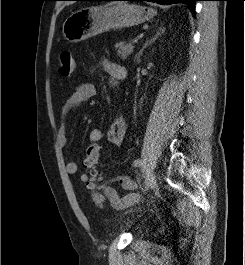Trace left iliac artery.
<instances>
[{"mask_svg": "<svg viewBox=\"0 0 245 265\" xmlns=\"http://www.w3.org/2000/svg\"><path fill=\"white\" fill-rule=\"evenodd\" d=\"M142 164L141 160L140 159H136L134 162H133V166L137 167V166H140Z\"/></svg>", "mask_w": 245, "mask_h": 265, "instance_id": "1", "label": "left iliac artery"}]
</instances>
